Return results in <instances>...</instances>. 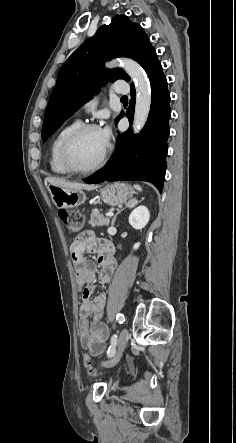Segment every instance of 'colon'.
Masks as SVG:
<instances>
[{"mask_svg":"<svg viewBox=\"0 0 236 443\" xmlns=\"http://www.w3.org/2000/svg\"><path fill=\"white\" fill-rule=\"evenodd\" d=\"M59 218L64 223V225L73 233L79 232L84 223L83 215L74 210H61L59 211ZM82 253L80 250L75 251V257L79 256ZM84 367L88 371L89 374H96L93 370V363L91 355L86 353L83 357Z\"/></svg>","mask_w":236,"mask_h":443,"instance_id":"1","label":"colon"}]
</instances>
